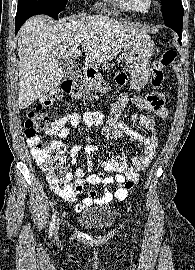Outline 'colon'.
Here are the masks:
<instances>
[{
  "instance_id": "obj_1",
  "label": "colon",
  "mask_w": 195,
  "mask_h": 270,
  "mask_svg": "<svg viewBox=\"0 0 195 270\" xmlns=\"http://www.w3.org/2000/svg\"><path fill=\"white\" fill-rule=\"evenodd\" d=\"M176 57V51L170 48L164 50L153 62L151 85L155 91L148 93L144 97V108L152 109L164 105L165 97L158 90L164 83V70L175 61ZM64 94L76 99H87L90 96L85 80L82 77H76L64 83L61 88L46 95L36 109L26 114L24 121L25 135L32 155L47 176L51 188L59 194L69 193L72 188L70 184L71 176L66 170L65 146L60 141L47 140L40 135V132L44 131L51 135L53 126V122L40 110L42 107H50L60 101ZM135 183L136 180L128 179L123 188L128 191Z\"/></svg>"
}]
</instances>
